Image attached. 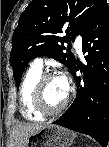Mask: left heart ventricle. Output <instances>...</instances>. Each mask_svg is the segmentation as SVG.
Returning a JSON list of instances; mask_svg holds the SVG:
<instances>
[{"label": "left heart ventricle", "mask_w": 109, "mask_h": 147, "mask_svg": "<svg viewBox=\"0 0 109 147\" xmlns=\"http://www.w3.org/2000/svg\"><path fill=\"white\" fill-rule=\"evenodd\" d=\"M67 96V91L61 78L49 80L44 86V100L48 108L60 106Z\"/></svg>", "instance_id": "obj_1"}]
</instances>
